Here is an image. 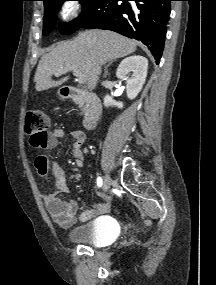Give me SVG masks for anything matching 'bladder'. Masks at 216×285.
Returning <instances> with one entry per match:
<instances>
[{"label": "bladder", "mask_w": 216, "mask_h": 285, "mask_svg": "<svg viewBox=\"0 0 216 285\" xmlns=\"http://www.w3.org/2000/svg\"><path fill=\"white\" fill-rule=\"evenodd\" d=\"M118 235L116 222L109 217L79 224L68 232V240L91 247H104L112 243Z\"/></svg>", "instance_id": "31cf9c89"}]
</instances>
